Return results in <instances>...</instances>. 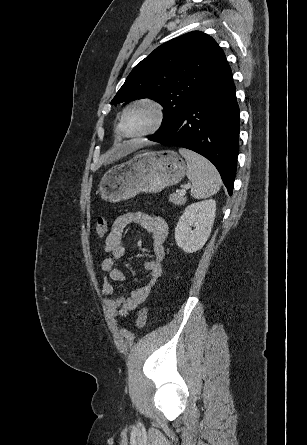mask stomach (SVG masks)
I'll return each mask as SVG.
<instances>
[{"label":"stomach","instance_id":"1","mask_svg":"<svg viewBox=\"0 0 307 445\" xmlns=\"http://www.w3.org/2000/svg\"><path fill=\"white\" fill-rule=\"evenodd\" d=\"M186 164L174 150H139L133 158L109 168L99 184L101 198L120 202L139 192H160L185 176Z\"/></svg>","mask_w":307,"mask_h":445}]
</instances>
